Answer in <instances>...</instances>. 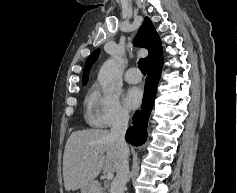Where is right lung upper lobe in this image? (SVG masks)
<instances>
[{
  "label": "right lung upper lobe",
  "instance_id": "right-lung-upper-lobe-1",
  "mask_svg": "<svg viewBox=\"0 0 237 193\" xmlns=\"http://www.w3.org/2000/svg\"><path fill=\"white\" fill-rule=\"evenodd\" d=\"M134 44L136 46L148 49L149 55L146 57L147 65L162 58V46L159 35L148 17H145L144 22L135 37ZM98 56L99 49L95 50L88 57L82 76V85L87 84L89 71L92 64L97 60Z\"/></svg>",
  "mask_w": 237,
  "mask_h": 193
}]
</instances>
